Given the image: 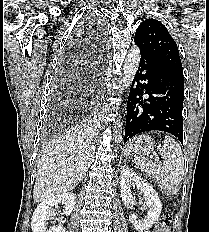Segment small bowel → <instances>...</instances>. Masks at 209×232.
<instances>
[{
  "instance_id": "c3829d8e",
  "label": "small bowel",
  "mask_w": 209,
  "mask_h": 232,
  "mask_svg": "<svg viewBox=\"0 0 209 232\" xmlns=\"http://www.w3.org/2000/svg\"><path fill=\"white\" fill-rule=\"evenodd\" d=\"M154 232H168V231H167V229L161 231V230L157 227V228L155 229Z\"/></svg>"
}]
</instances>
